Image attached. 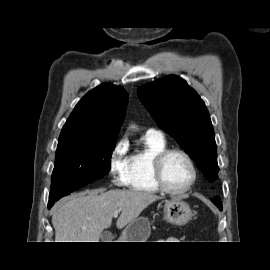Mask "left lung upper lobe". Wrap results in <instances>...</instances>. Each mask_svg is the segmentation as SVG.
<instances>
[{
    "label": "left lung upper lobe",
    "mask_w": 270,
    "mask_h": 270,
    "mask_svg": "<svg viewBox=\"0 0 270 270\" xmlns=\"http://www.w3.org/2000/svg\"><path fill=\"white\" fill-rule=\"evenodd\" d=\"M159 127L188 152L209 181L217 179V147L204 101L185 80L169 75L138 89Z\"/></svg>",
    "instance_id": "1"
}]
</instances>
